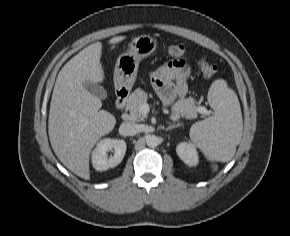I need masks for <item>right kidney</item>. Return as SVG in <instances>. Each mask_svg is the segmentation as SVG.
<instances>
[{
  "label": "right kidney",
  "mask_w": 290,
  "mask_h": 236,
  "mask_svg": "<svg viewBox=\"0 0 290 236\" xmlns=\"http://www.w3.org/2000/svg\"><path fill=\"white\" fill-rule=\"evenodd\" d=\"M126 142L121 139L105 138L98 142L92 152V165L97 171H105L120 164L126 152ZM114 150V155L108 157L107 152Z\"/></svg>",
  "instance_id": "ca27d5eb"
}]
</instances>
